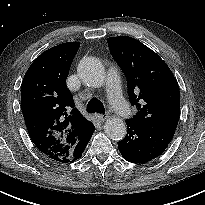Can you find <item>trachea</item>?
Segmentation results:
<instances>
[{
    "instance_id": "trachea-1",
    "label": "trachea",
    "mask_w": 205,
    "mask_h": 205,
    "mask_svg": "<svg viewBox=\"0 0 205 205\" xmlns=\"http://www.w3.org/2000/svg\"><path fill=\"white\" fill-rule=\"evenodd\" d=\"M87 112L89 113H104L105 108L101 101L97 98H92L87 104Z\"/></svg>"
}]
</instances>
